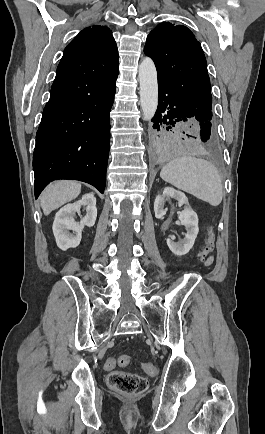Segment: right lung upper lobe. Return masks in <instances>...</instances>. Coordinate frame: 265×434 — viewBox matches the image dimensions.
Listing matches in <instances>:
<instances>
[{
	"instance_id": "right-lung-upper-lobe-1",
	"label": "right lung upper lobe",
	"mask_w": 265,
	"mask_h": 434,
	"mask_svg": "<svg viewBox=\"0 0 265 434\" xmlns=\"http://www.w3.org/2000/svg\"><path fill=\"white\" fill-rule=\"evenodd\" d=\"M118 53L112 32L106 26L93 25L83 29L65 48L64 53Z\"/></svg>"
}]
</instances>
